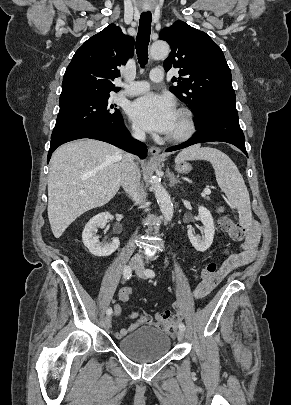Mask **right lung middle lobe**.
<instances>
[{"label":"right lung middle lobe","instance_id":"dd1d6c3e","mask_svg":"<svg viewBox=\"0 0 291 405\" xmlns=\"http://www.w3.org/2000/svg\"><path fill=\"white\" fill-rule=\"evenodd\" d=\"M110 96L60 101V110L51 139L84 127H108L122 120L121 113L108 103Z\"/></svg>","mask_w":291,"mask_h":405}]
</instances>
